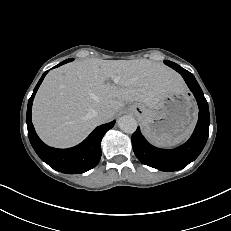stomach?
I'll use <instances>...</instances> for the list:
<instances>
[{"label": "stomach", "mask_w": 231, "mask_h": 231, "mask_svg": "<svg viewBox=\"0 0 231 231\" xmlns=\"http://www.w3.org/2000/svg\"><path fill=\"white\" fill-rule=\"evenodd\" d=\"M143 126L145 135L158 146H172L188 137L197 120V107L184 90L167 92L153 108L143 103L129 107Z\"/></svg>", "instance_id": "0dacf381"}]
</instances>
